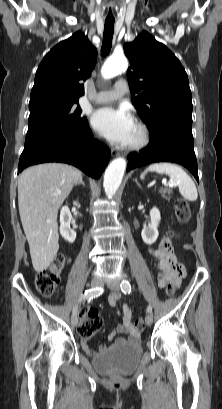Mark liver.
Returning <instances> with one entry per match:
<instances>
[{
	"instance_id": "1",
	"label": "liver",
	"mask_w": 222,
	"mask_h": 409,
	"mask_svg": "<svg viewBox=\"0 0 222 409\" xmlns=\"http://www.w3.org/2000/svg\"><path fill=\"white\" fill-rule=\"evenodd\" d=\"M81 177L61 163L35 165L19 176V214L36 272L46 270L59 250L58 210Z\"/></svg>"
}]
</instances>
